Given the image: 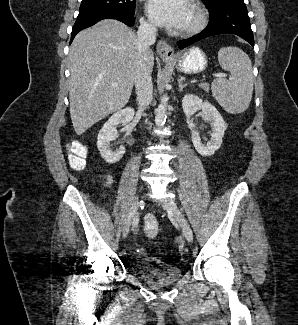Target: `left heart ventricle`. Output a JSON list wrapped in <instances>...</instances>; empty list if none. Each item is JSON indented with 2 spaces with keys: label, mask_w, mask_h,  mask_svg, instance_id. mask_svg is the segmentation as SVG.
Returning a JSON list of instances; mask_svg holds the SVG:
<instances>
[{
  "label": "left heart ventricle",
  "mask_w": 298,
  "mask_h": 325,
  "mask_svg": "<svg viewBox=\"0 0 298 325\" xmlns=\"http://www.w3.org/2000/svg\"><path fill=\"white\" fill-rule=\"evenodd\" d=\"M193 21H194L193 13H192L190 7L188 5H186V11H185L183 26L177 31H182V30L190 27L192 25Z\"/></svg>",
  "instance_id": "left-heart-ventricle-1"
}]
</instances>
